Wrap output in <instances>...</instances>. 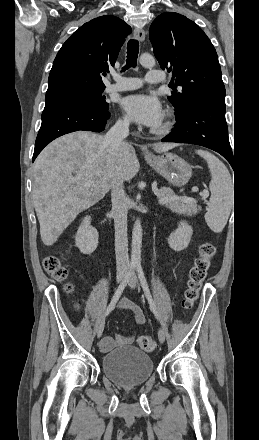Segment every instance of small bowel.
Here are the masks:
<instances>
[{"instance_id":"small-bowel-1","label":"small bowel","mask_w":259,"mask_h":440,"mask_svg":"<svg viewBox=\"0 0 259 440\" xmlns=\"http://www.w3.org/2000/svg\"><path fill=\"white\" fill-rule=\"evenodd\" d=\"M119 308L121 310H129L133 314L134 320L138 325H143L145 323L146 319L140 307L127 298H123L120 301ZM133 339V334L128 336L118 335L116 337L106 336L102 339L100 348L102 351H108L115 346L130 344Z\"/></svg>"}]
</instances>
